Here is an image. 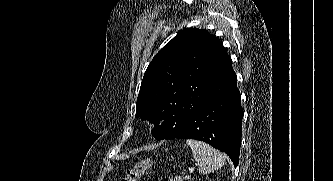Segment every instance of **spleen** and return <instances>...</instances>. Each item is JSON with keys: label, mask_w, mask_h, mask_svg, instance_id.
I'll list each match as a JSON object with an SVG mask.
<instances>
[{"label": "spleen", "mask_w": 333, "mask_h": 181, "mask_svg": "<svg viewBox=\"0 0 333 181\" xmlns=\"http://www.w3.org/2000/svg\"><path fill=\"white\" fill-rule=\"evenodd\" d=\"M186 143L192 150L201 174H208L225 165L223 154L209 144L190 139Z\"/></svg>", "instance_id": "obj_1"}]
</instances>
